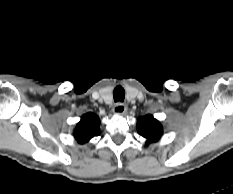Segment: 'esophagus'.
<instances>
[{"instance_id":"esophagus-1","label":"esophagus","mask_w":233,"mask_h":194,"mask_svg":"<svg viewBox=\"0 0 233 194\" xmlns=\"http://www.w3.org/2000/svg\"><path fill=\"white\" fill-rule=\"evenodd\" d=\"M126 109H127L126 105L123 104V103H121V102H119V103H116L114 105L113 112L115 114H120L121 115V114H124L126 112Z\"/></svg>"}]
</instances>
